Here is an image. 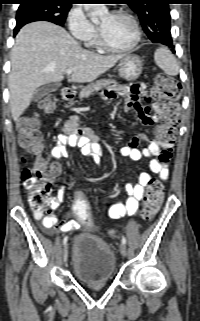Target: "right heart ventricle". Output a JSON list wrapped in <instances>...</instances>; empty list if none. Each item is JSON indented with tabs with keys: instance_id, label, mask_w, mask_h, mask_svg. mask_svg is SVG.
<instances>
[{
	"instance_id": "right-heart-ventricle-1",
	"label": "right heart ventricle",
	"mask_w": 200,
	"mask_h": 321,
	"mask_svg": "<svg viewBox=\"0 0 200 321\" xmlns=\"http://www.w3.org/2000/svg\"><path fill=\"white\" fill-rule=\"evenodd\" d=\"M88 45L92 46L96 44V40L94 39V37H92L91 39L86 41Z\"/></svg>"
}]
</instances>
